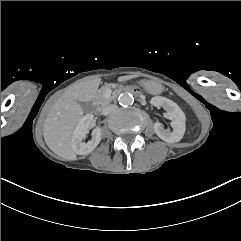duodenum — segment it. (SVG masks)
<instances>
[{
    "mask_svg": "<svg viewBox=\"0 0 241 241\" xmlns=\"http://www.w3.org/2000/svg\"><path fill=\"white\" fill-rule=\"evenodd\" d=\"M124 90L127 91V92L134 93V94H139V92H140L139 89L136 88V87H127ZM99 111H100V109L97 108V112H99Z\"/></svg>",
    "mask_w": 241,
    "mask_h": 241,
    "instance_id": "410a0bca",
    "label": "duodenum"
}]
</instances>
